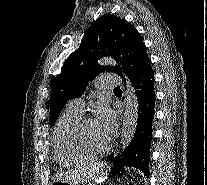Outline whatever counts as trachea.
<instances>
[{"mask_svg": "<svg viewBox=\"0 0 207 185\" xmlns=\"http://www.w3.org/2000/svg\"><path fill=\"white\" fill-rule=\"evenodd\" d=\"M114 90H120V87H116Z\"/></svg>", "mask_w": 207, "mask_h": 185, "instance_id": "3493384b", "label": "trachea"}]
</instances>
